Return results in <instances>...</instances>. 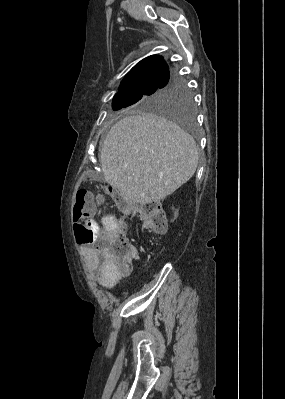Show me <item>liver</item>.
Segmentation results:
<instances>
[{"mask_svg":"<svg viewBox=\"0 0 285 399\" xmlns=\"http://www.w3.org/2000/svg\"><path fill=\"white\" fill-rule=\"evenodd\" d=\"M194 139L163 117L142 114L119 120L108 132L99 161L105 181L127 201L159 202L195 173Z\"/></svg>","mask_w":285,"mask_h":399,"instance_id":"liver-1","label":"liver"}]
</instances>
